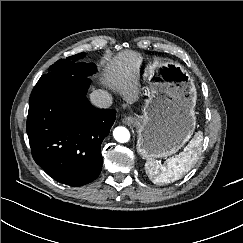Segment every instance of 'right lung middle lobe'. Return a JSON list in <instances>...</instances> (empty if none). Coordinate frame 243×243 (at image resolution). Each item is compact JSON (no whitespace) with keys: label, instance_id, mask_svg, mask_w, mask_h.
<instances>
[{"label":"right lung middle lobe","instance_id":"1","mask_svg":"<svg viewBox=\"0 0 243 243\" xmlns=\"http://www.w3.org/2000/svg\"><path fill=\"white\" fill-rule=\"evenodd\" d=\"M84 53L60 59L50 66L49 72L43 76H89L95 72L94 64L79 61Z\"/></svg>","mask_w":243,"mask_h":243}]
</instances>
